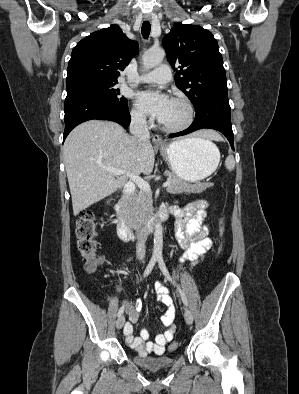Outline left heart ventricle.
<instances>
[{"label":"left heart ventricle","instance_id":"1","mask_svg":"<svg viewBox=\"0 0 299 394\" xmlns=\"http://www.w3.org/2000/svg\"><path fill=\"white\" fill-rule=\"evenodd\" d=\"M187 112L184 106L172 101L166 116L161 120L166 125H179L186 120Z\"/></svg>","mask_w":299,"mask_h":394}]
</instances>
